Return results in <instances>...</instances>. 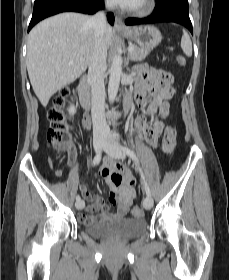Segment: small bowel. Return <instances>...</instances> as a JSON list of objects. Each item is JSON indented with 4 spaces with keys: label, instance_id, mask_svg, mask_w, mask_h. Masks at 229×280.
<instances>
[{
    "label": "small bowel",
    "instance_id": "small-bowel-1",
    "mask_svg": "<svg viewBox=\"0 0 229 280\" xmlns=\"http://www.w3.org/2000/svg\"><path fill=\"white\" fill-rule=\"evenodd\" d=\"M175 90L171 86L161 84L156 76L144 66L138 67V74L135 83L134 98L141 110L147 116L155 113L161 118L169 115L168 100L174 95ZM163 128L161 120L149 121L145 117L137 118L134 123V135L143 138L151 146H156L158 136ZM73 155L74 152H71ZM118 171L124 177L120 185L112 182V175ZM100 175L105 179L111 193L116 195L114 205H117L115 213H111L108 205L94 197L87 185H81L80 191L86 200L84 212L79 214V219L83 223L97 220H111L112 218L125 217L132 205L135 196V178L132 171L126 167L124 162L107 158L99 169ZM85 203V202H84ZM101 212L102 215L94 216V213Z\"/></svg>",
    "mask_w": 229,
    "mask_h": 280
}]
</instances>
